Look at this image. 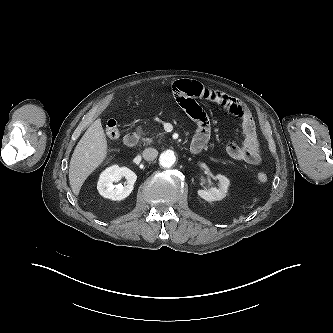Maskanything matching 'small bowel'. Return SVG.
I'll list each match as a JSON object with an SVG mask.
<instances>
[{"mask_svg": "<svg viewBox=\"0 0 333 333\" xmlns=\"http://www.w3.org/2000/svg\"><path fill=\"white\" fill-rule=\"evenodd\" d=\"M173 93L181 107L197 125L192 143H202L205 146L209 141L211 133L209 119L198 104V100L211 102L237 116L242 122L243 143L228 142L226 150L229 156L250 165H258L260 163L261 155L255 122L251 111L242 101L217 89L206 87L191 80L176 82L173 86Z\"/></svg>", "mask_w": 333, "mask_h": 333, "instance_id": "small-bowel-1", "label": "small bowel"}]
</instances>
